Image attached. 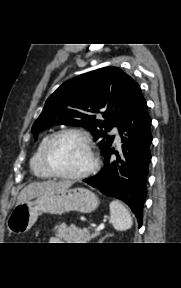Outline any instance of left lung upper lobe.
Returning <instances> with one entry per match:
<instances>
[{"label":"left lung upper lobe","instance_id":"1","mask_svg":"<svg viewBox=\"0 0 181 288\" xmlns=\"http://www.w3.org/2000/svg\"><path fill=\"white\" fill-rule=\"evenodd\" d=\"M139 85L117 67H104L64 82L46 101L32 131L38 133L58 124L82 126L99 142L104 155L114 136L106 135L112 127H120L139 91ZM101 112L104 120L94 113ZM104 128L105 130H102Z\"/></svg>","mask_w":181,"mask_h":288}]
</instances>
